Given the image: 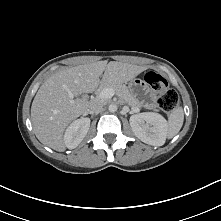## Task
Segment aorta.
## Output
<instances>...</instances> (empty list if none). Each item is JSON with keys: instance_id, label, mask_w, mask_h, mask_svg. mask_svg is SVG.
<instances>
[{"instance_id": "aorta-1", "label": "aorta", "mask_w": 221, "mask_h": 221, "mask_svg": "<svg viewBox=\"0 0 221 221\" xmlns=\"http://www.w3.org/2000/svg\"><path fill=\"white\" fill-rule=\"evenodd\" d=\"M108 110L109 112L114 113L117 111V106L115 104H110Z\"/></svg>"}]
</instances>
